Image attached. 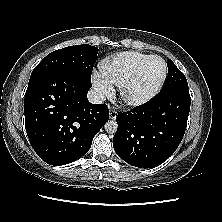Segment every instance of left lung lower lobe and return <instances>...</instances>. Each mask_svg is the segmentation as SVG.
I'll return each mask as SVG.
<instances>
[{
	"mask_svg": "<svg viewBox=\"0 0 222 222\" xmlns=\"http://www.w3.org/2000/svg\"><path fill=\"white\" fill-rule=\"evenodd\" d=\"M190 102L189 88H171L148 104L119 113L113 137L117 155L139 168H153L166 161L184 136Z\"/></svg>",
	"mask_w": 222,
	"mask_h": 222,
	"instance_id": "0a47b994",
	"label": "left lung lower lobe"
}]
</instances>
